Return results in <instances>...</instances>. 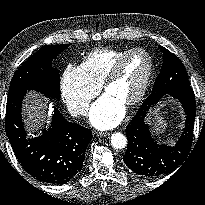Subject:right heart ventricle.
<instances>
[{
	"instance_id": "1",
	"label": "right heart ventricle",
	"mask_w": 205,
	"mask_h": 205,
	"mask_svg": "<svg viewBox=\"0 0 205 205\" xmlns=\"http://www.w3.org/2000/svg\"><path fill=\"white\" fill-rule=\"evenodd\" d=\"M131 49H97L90 52L80 67L85 76L100 86L116 61Z\"/></svg>"
}]
</instances>
